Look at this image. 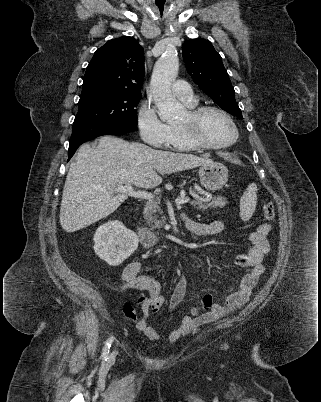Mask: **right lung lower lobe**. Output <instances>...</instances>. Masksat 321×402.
Wrapping results in <instances>:
<instances>
[{"label": "right lung lower lobe", "instance_id": "right-lung-lower-lobe-1", "mask_svg": "<svg viewBox=\"0 0 321 402\" xmlns=\"http://www.w3.org/2000/svg\"><path fill=\"white\" fill-rule=\"evenodd\" d=\"M137 127L124 123H90L75 125L69 141L68 160L74 155L77 148L84 142L102 135L124 134L136 130Z\"/></svg>", "mask_w": 321, "mask_h": 402}]
</instances>
